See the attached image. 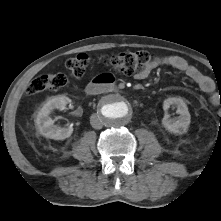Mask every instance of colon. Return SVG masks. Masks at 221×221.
<instances>
[{
    "label": "colon",
    "mask_w": 221,
    "mask_h": 221,
    "mask_svg": "<svg viewBox=\"0 0 221 221\" xmlns=\"http://www.w3.org/2000/svg\"><path fill=\"white\" fill-rule=\"evenodd\" d=\"M154 60V55L148 51L121 52L104 58V63L116 72L132 75L138 73ZM89 67V57L80 53L66 61V68L74 77H83ZM68 78L64 73H50L35 77L26 89L28 95L50 90L55 91L65 87ZM221 123V116H220Z\"/></svg>",
    "instance_id": "colon-1"
}]
</instances>
